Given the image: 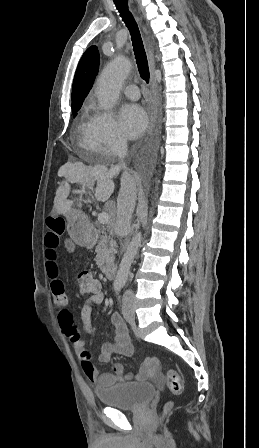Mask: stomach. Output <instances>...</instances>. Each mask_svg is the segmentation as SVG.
Listing matches in <instances>:
<instances>
[{"label": "stomach", "mask_w": 259, "mask_h": 448, "mask_svg": "<svg viewBox=\"0 0 259 448\" xmlns=\"http://www.w3.org/2000/svg\"><path fill=\"white\" fill-rule=\"evenodd\" d=\"M66 220L68 221V232L78 244V246H85L92 238V226L86 216L85 212H80L79 208L71 206L67 209Z\"/></svg>", "instance_id": "stomach-1"}]
</instances>
